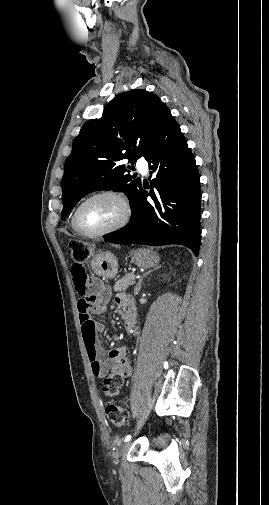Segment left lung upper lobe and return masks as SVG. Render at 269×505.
<instances>
[{
    "label": "left lung upper lobe",
    "mask_w": 269,
    "mask_h": 505,
    "mask_svg": "<svg viewBox=\"0 0 269 505\" xmlns=\"http://www.w3.org/2000/svg\"><path fill=\"white\" fill-rule=\"evenodd\" d=\"M170 110L155 94L135 89L116 96L102 117L88 121L73 142L62 178L61 219L90 192L102 189L124 191L131 208L141 189L140 179L129 174L133 165L145 157L156 128Z\"/></svg>",
    "instance_id": "left-lung-upper-lobe-1"
}]
</instances>
